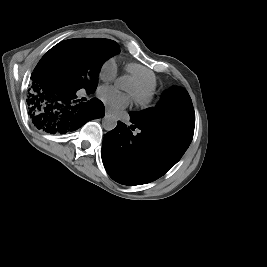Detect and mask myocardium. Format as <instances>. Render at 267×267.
<instances>
[{
  "label": "myocardium",
  "mask_w": 267,
  "mask_h": 267,
  "mask_svg": "<svg viewBox=\"0 0 267 267\" xmlns=\"http://www.w3.org/2000/svg\"><path fill=\"white\" fill-rule=\"evenodd\" d=\"M133 81V80H132ZM132 95L139 104H146L150 101L152 94L147 92L143 87L133 82Z\"/></svg>",
  "instance_id": "myocardium-1"
}]
</instances>
